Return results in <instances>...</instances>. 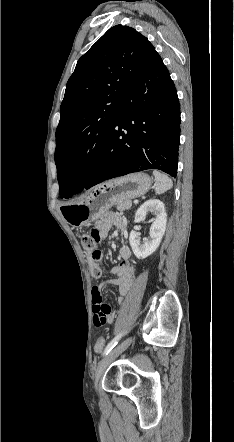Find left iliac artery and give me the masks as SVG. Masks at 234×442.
Wrapping results in <instances>:
<instances>
[{"mask_svg":"<svg viewBox=\"0 0 234 442\" xmlns=\"http://www.w3.org/2000/svg\"><path fill=\"white\" fill-rule=\"evenodd\" d=\"M122 337V333H120L119 335H117L114 339H112L108 345L106 346L104 352H103V356L107 355L118 343V341L120 340V338Z\"/></svg>","mask_w":234,"mask_h":442,"instance_id":"left-iliac-artery-1","label":"left iliac artery"}]
</instances>
